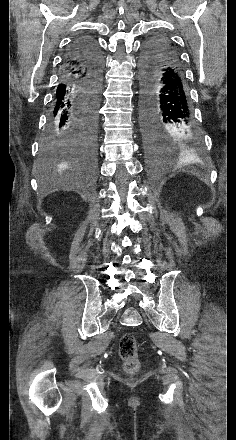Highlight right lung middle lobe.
<instances>
[{"instance_id": "1", "label": "right lung middle lobe", "mask_w": 236, "mask_h": 440, "mask_svg": "<svg viewBox=\"0 0 236 440\" xmlns=\"http://www.w3.org/2000/svg\"><path fill=\"white\" fill-rule=\"evenodd\" d=\"M85 96L91 104L90 119L86 131H84L80 137L72 138L65 133H53L46 136L41 149V160L45 163L54 162L62 152L67 151L78 146L80 148L90 146L93 142H96L97 132V108L100 99L101 88L97 85H87L85 90ZM78 148L79 153L86 161L92 163L94 155H87L82 149ZM75 152H68L69 158H75Z\"/></svg>"}]
</instances>
